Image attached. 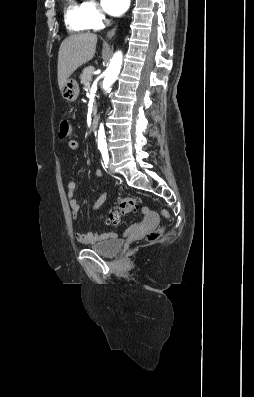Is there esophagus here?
Returning <instances> with one entry per match:
<instances>
[{
    "label": "esophagus",
    "instance_id": "esophagus-1",
    "mask_svg": "<svg viewBox=\"0 0 254 397\" xmlns=\"http://www.w3.org/2000/svg\"><path fill=\"white\" fill-rule=\"evenodd\" d=\"M115 31H116V27L113 28V29H111V30L108 32L107 36H108L109 38H111L112 36H114Z\"/></svg>",
    "mask_w": 254,
    "mask_h": 397
}]
</instances>
